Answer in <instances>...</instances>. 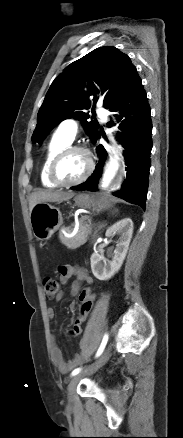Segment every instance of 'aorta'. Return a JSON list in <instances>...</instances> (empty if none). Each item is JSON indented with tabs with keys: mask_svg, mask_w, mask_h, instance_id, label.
<instances>
[{
	"mask_svg": "<svg viewBox=\"0 0 183 438\" xmlns=\"http://www.w3.org/2000/svg\"><path fill=\"white\" fill-rule=\"evenodd\" d=\"M118 170V162L117 157L111 158L108 168L106 169L103 177V187L108 186L111 180L114 178L116 172Z\"/></svg>",
	"mask_w": 183,
	"mask_h": 438,
	"instance_id": "obj_1",
	"label": "aorta"
}]
</instances>
